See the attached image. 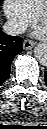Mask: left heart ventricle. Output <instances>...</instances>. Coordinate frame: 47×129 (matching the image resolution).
Returning a JSON list of instances; mask_svg holds the SVG:
<instances>
[{"label": "left heart ventricle", "instance_id": "1", "mask_svg": "<svg viewBox=\"0 0 47 129\" xmlns=\"http://www.w3.org/2000/svg\"><path fill=\"white\" fill-rule=\"evenodd\" d=\"M40 23H41L42 25H44V24H45V18H41Z\"/></svg>", "mask_w": 47, "mask_h": 129}]
</instances>
